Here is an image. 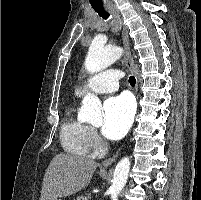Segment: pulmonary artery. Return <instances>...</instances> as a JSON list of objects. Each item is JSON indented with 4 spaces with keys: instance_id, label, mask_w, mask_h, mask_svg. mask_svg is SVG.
Listing matches in <instances>:
<instances>
[{
    "instance_id": "e3ab8cb5",
    "label": "pulmonary artery",
    "mask_w": 201,
    "mask_h": 200,
    "mask_svg": "<svg viewBox=\"0 0 201 200\" xmlns=\"http://www.w3.org/2000/svg\"><path fill=\"white\" fill-rule=\"evenodd\" d=\"M120 75L116 70H107L100 72L88 78L83 87L77 91L78 95L83 94L86 90L95 93H110L118 89Z\"/></svg>"
}]
</instances>
